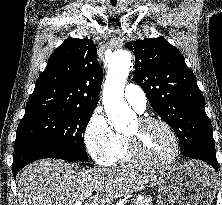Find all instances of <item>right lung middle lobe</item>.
<instances>
[{"mask_svg": "<svg viewBox=\"0 0 222 205\" xmlns=\"http://www.w3.org/2000/svg\"><path fill=\"white\" fill-rule=\"evenodd\" d=\"M94 109L58 108L25 114L17 128L14 146L37 142L88 161L83 134Z\"/></svg>", "mask_w": 222, "mask_h": 205, "instance_id": "right-lung-middle-lobe-1", "label": "right lung middle lobe"}]
</instances>
